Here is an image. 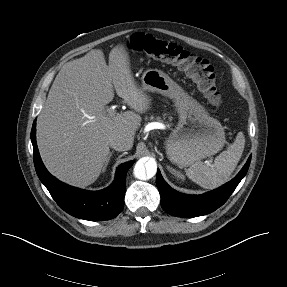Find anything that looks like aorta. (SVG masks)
Masks as SVG:
<instances>
[{
    "instance_id": "762f6f07",
    "label": "aorta",
    "mask_w": 287,
    "mask_h": 287,
    "mask_svg": "<svg viewBox=\"0 0 287 287\" xmlns=\"http://www.w3.org/2000/svg\"><path fill=\"white\" fill-rule=\"evenodd\" d=\"M157 164L152 158L140 159L134 167V176L138 179L144 180L151 178L156 174Z\"/></svg>"
}]
</instances>
